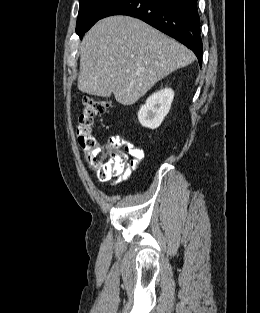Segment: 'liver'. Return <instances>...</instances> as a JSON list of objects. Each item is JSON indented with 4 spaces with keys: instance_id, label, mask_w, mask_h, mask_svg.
I'll return each mask as SVG.
<instances>
[{
    "instance_id": "obj_1",
    "label": "liver",
    "mask_w": 260,
    "mask_h": 313,
    "mask_svg": "<svg viewBox=\"0 0 260 313\" xmlns=\"http://www.w3.org/2000/svg\"><path fill=\"white\" fill-rule=\"evenodd\" d=\"M78 89L132 105L156 82L195 60L184 45L129 16L99 20L80 48Z\"/></svg>"
}]
</instances>
